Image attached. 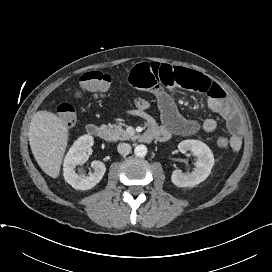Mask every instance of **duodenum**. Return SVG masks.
<instances>
[{
    "label": "duodenum",
    "mask_w": 272,
    "mask_h": 272,
    "mask_svg": "<svg viewBox=\"0 0 272 272\" xmlns=\"http://www.w3.org/2000/svg\"><path fill=\"white\" fill-rule=\"evenodd\" d=\"M86 131L89 135L102 139V140H108L109 139V135L108 132L96 125V124H89L86 128ZM154 139H156V134L153 131H146L145 133H143L142 135L139 136V141L144 142V143H150L151 141H153Z\"/></svg>",
    "instance_id": "obj_1"
}]
</instances>
